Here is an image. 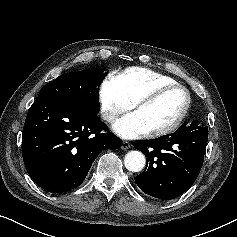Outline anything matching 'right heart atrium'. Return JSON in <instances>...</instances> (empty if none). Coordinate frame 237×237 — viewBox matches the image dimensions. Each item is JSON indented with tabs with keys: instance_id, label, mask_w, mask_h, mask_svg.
Instances as JSON below:
<instances>
[{
	"instance_id": "d8ad5b80",
	"label": "right heart atrium",
	"mask_w": 237,
	"mask_h": 237,
	"mask_svg": "<svg viewBox=\"0 0 237 237\" xmlns=\"http://www.w3.org/2000/svg\"><path fill=\"white\" fill-rule=\"evenodd\" d=\"M98 99L100 114L108 123L115 122L118 117L132 108L131 103L113 76L105 78L99 87Z\"/></svg>"
}]
</instances>
